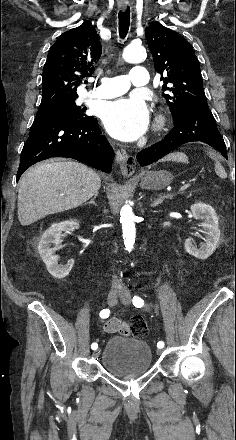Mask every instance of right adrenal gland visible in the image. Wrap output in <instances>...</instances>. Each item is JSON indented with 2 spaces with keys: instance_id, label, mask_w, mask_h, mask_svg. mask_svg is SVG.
Masks as SVG:
<instances>
[{
  "instance_id": "2a0ac1e0",
  "label": "right adrenal gland",
  "mask_w": 236,
  "mask_h": 440,
  "mask_svg": "<svg viewBox=\"0 0 236 440\" xmlns=\"http://www.w3.org/2000/svg\"><path fill=\"white\" fill-rule=\"evenodd\" d=\"M98 194H99V193H96V194L94 195V197H93L89 202H87L86 204H93V205L96 206L95 199H96V197L98 196Z\"/></svg>"
}]
</instances>
